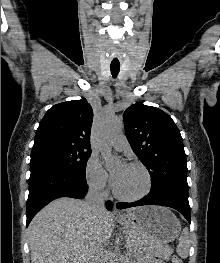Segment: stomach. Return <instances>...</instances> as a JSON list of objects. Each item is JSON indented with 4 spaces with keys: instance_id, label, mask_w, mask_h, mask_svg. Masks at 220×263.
<instances>
[{
    "instance_id": "obj_1",
    "label": "stomach",
    "mask_w": 220,
    "mask_h": 263,
    "mask_svg": "<svg viewBox=\"0 0 220 263\" xmlns=\"http://www.w3.org/2000/svg\"><path fill=\"white\" fill-rule=\"evenodd\" d=\"M128 231L137 234L134 249H150L152 244H166L176 239L181 231L178 218L161 206H144L118 218Z\"/></svg>"
}]
</instances>
